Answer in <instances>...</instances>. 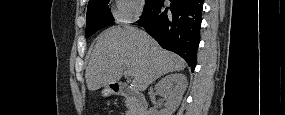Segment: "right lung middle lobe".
<instances>
[{"label":"right lung middle lobe","mask_w":285,"mask_h":115,"mask_svg":"<svg viewBox=\"0 0 285 115\" xmlns=\"http://www.w3.org/2000/svg\"><path fill=\"white\" fill-rule=\"evenodd\" d=\"M153 0H146L148 6ZM109 0H89L85 36L90 37L99 29L114 24L113 16L108 9Z\"/></svg>","instance_id":"1"}]
</instances>
